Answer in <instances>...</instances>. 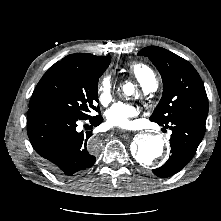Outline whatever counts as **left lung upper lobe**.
Returning <instances> with one entry per match:
<instances>
[{"mask_svg":"<svg viewBox=\"0 0 221 221\" xmlns=\"http://www.w3.org/2000/svg\"><path fill=\"white\" fill-rule=\"evenodd\" d=\"M157 67L163 80V95L150 120L159 125L177 118H187L206 124L208 98L203 82L194 67L178 55L149 46L138 52Z\"/></svg>","mask_w":221,"mask_h":221,"instance_id":"left-lung-upper-lobe-1","label":"left lung upper lobe"}]
</instances>
